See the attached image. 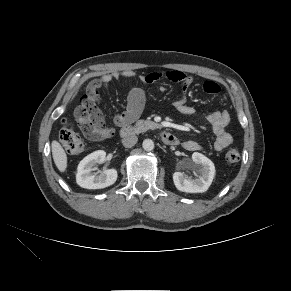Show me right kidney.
<instances>
[{"instance_id": "ca27d5eb", "label": "right kidney", "mask_w": 291, "mask_h": 291, "mask_svg": "<svg viewBox=\"0 0 291 291\" xmlns=\"http://www.w3.org/2000/svg\"><path fill=\"white\" fill-rule=\"evenodd\" d=\"M106 152L103 150L95 151L80 161L77 168L76 182L86 189H102L114 184L117 180V170L107 169L100 174H93L94 166L103 163Z\"/></svg>"}]
</instances>
